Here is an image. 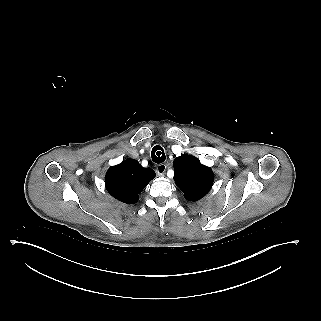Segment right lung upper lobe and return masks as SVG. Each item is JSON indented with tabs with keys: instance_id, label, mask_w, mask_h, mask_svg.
<instances>
[{
	"instance_id": "cb5924a9",
	"label": "right lung upper lobe",
	"mask_w": 321,
	"mask_h": 321,
	"mask_svg": "<svg viewBox=\"0 0 321 321\" xmlns=\"http://www.w3.org/2000/svg\"><path fill=\"white\" fill-rule=\"evenodd\" d=\"M155 177L151 168H143L138 161L126 159L110 167L105 176L106 189L115 199L135 204L140 192Z\"/></svg>"
}]
</instances>
